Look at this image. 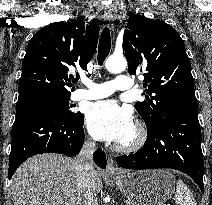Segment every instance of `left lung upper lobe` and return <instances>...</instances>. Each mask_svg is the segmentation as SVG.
<instances>
[{"mask_svg":"<svg viewBox=\"0 0 212 205\" xmlns=\"http://www.w3.org/2000/svg\"><path fill=\"white\" fill-rule=\"evenodd\" d=\"M129 73L144 72L145 100L135 103L147 128L171 109L196 103L190 60L177 31L160 20L130 15L123 36Z\"/></svg>","mask_w":212,"mask_h":205,"instance_id":"1","label":"left lung upper lobe"}]
</instances>
